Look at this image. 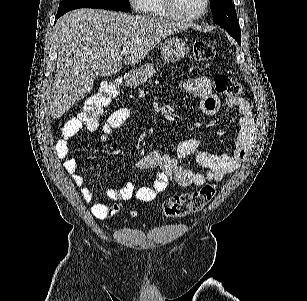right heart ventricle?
Listing matches in <instances>:
<instances>
[{"label":"right heart ventricle","instance_id":"e07e8e85","mask_svg":"<svg viewBox=\"0 0 307 301\" xmlns=\"http://www.w3.org/2000/svg\"><path fill=\"white\" fill-rule=\"evenodd\" d=\"M144 8H153L155 17H168V10H158L163 7V0H143Z\"/></svg>","mask_w":307,"mask_h":301}]
</instances>
